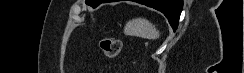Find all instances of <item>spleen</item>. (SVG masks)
I'll return each mask as SVG.
<instances>
[{"instance_id":"obj_1","label":"spleen","mask_w":244,"mask_h":73,"mask_svg":"<svg viewBox=\"0 0 244 73\" xmlns=\"http://www.w3.org/2000/svg\"><path fill=\"white\" fill-rule=\"evenodd\" d=\"M124 34L144 39H157L160 36L155 25L144 18H136L127 22L124 27Z\"/></svg>"}]
</instances>
